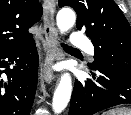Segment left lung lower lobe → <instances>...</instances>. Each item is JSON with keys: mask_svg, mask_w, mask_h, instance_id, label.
Segmentation results:
<instances>
[{"mask_svg": "<svg viewBox=\"0 0 131 115\" xmlns=\"http://www.w3.org/2000/svg\"><path fill=\"white\" fill-rule=\"evenodd\" d=\"M93 80L76 81L68 115H93L119 104L131 103V76L91 68Z\"/></svg>", "mask_w": 131, "mask_h": 115, "instance_id": "obj_1", "label": "left lung lower lobe"}]
</instances>
